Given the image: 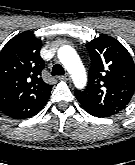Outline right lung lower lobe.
<instances>
[{
  "instance_id": "1",
  "label": "right lung lower lobe",
  "mask_w": 135,
  "mask_h": 165,
  "mask_svg": "<svg viewBox=\"0 0 135 165\" xmlns=\"http://www.w3.org/2000/svg\"><path fill=\"white\" fill-rule=\"evenodd\" d=\"M38 111H40V109H39ZM38 111H36L35 113L30 114V115H26V116H19V117H13V118H16V119H25V118H29V117H31V116H33V115H35Z\"/></svg>"
}]
</instances>
